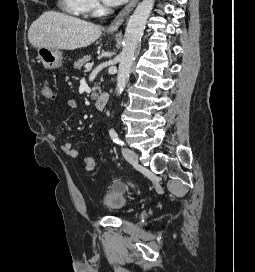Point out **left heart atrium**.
I'll return each mask as SVG.
<instances>
[{
	"instance_id": "obj_1",
	"label": "left heart atrium",
	"mask_w": 255,
	"mask_h": 272,
	"mask_svg": "<svg viewBox=\"0 0 255 272\" xmlns=\"http://www.w3.org/2000/svg\"><path fill=\"white\" fill-rule=\"evenodd\" d=\"M103 3L107 6H112V7H115V6H119L121 5L123 2H125L126 0H102Z\"/></svg>"
}]
</instances>
